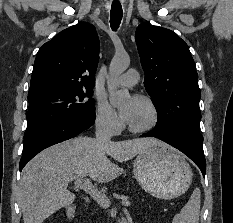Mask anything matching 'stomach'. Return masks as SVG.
Instances as JSON below:
<instances>
[{
  "label": "stomach",
  "instance_id": "obj_1",
  "mask_svg": "<svg viewBox=\"0 0 233 223\" xmlns=\"http://www.w3.org/2000/svg\"><path fill=\"white\" fill-rule=\"evenodd\" d=\"M139 185L159 199H173L185 193L192 183V169L183 155L166 143L150 145L133 161Z\"/></svg>",
  "mask_w": 233,
  "mask_h": 223
}]
</instances>
